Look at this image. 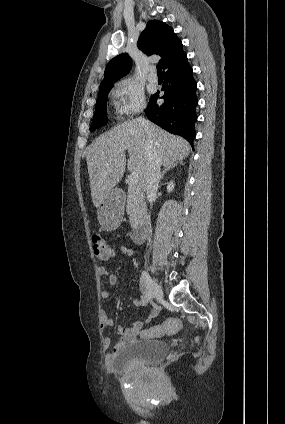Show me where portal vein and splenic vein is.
<instances>
[{
	"label": "portal vein and splenic vein",
	"instance_id": "obj_1",
	"mask_svg": "<svg viewBox=\"0 0 285 424\" xmlns=\"http://www.w3.org/2000/svg\"><path fill=\"white\" fill-rule=\"evenodd\" d=\"M128 182L130 186H135L138 184L139 182V176L137 173L132 172L130 173V175L128 176Z\"/></svg>",
	"mask_w": 285,
	"mask_h": 424
}]
</instances>
